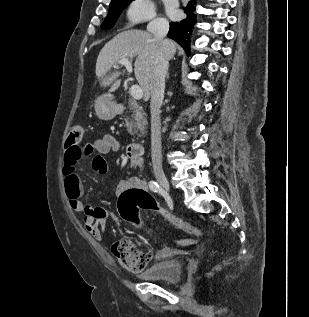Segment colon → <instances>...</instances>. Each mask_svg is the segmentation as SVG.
Returning a JSON list of instances; mask_svg holds the SVG:
<instances>
[{
	"label": "colon",
	"instance_id": "colon-1",
	"mask_svg": "<svg viewBox=\"0 0 309 317\" xmlns=\"http://www.w3.org/2000/svg\"><path fill=\"white\" fill-rule=\"evenodd\" d=\"M83 126L75 124L71 127L67 139L65 161L68 164L79 161L90 151L89 145H82ZM118 209L121 217L129 222H137L141 210H152L161 214L169 223L180 230L195 235H204L200 228L168 213L162 209L155 199L147 191L142 189H129L122 193L118 201ZM194 239L185 238L175 241L178 246L189 247L195 244ZM112 252L120 265L131 272L142 271L151 258L150 249L142 241L123 236L112 246Z\"/></svg>",
	"mask_w": 309,
	"mask_h": 317
}]
</instances>
